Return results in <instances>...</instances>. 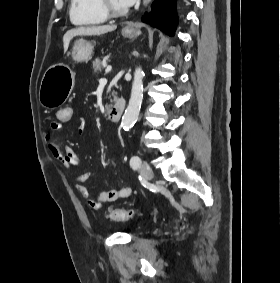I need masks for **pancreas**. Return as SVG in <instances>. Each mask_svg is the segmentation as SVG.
<instances>
[{
    "instance_id": "1",
    "label": "pancreas",
    "mask_w": 280,
    "mask_h": 283,
    "mask_svg": "<svg viewBox=\"0 0 280 283\" xmlns=\"http://www.w3.org/2000/svg\"><path fill=\"white\" fill-rule=\"evenodd\" d=\"M107 66V61L105 59H95V61L92 62V69L94 70V73H99L102 71V69ZM116 93L114 92L113 95ZM117 97H114V100H116Z\"/></svg>"
}]
</instances>
